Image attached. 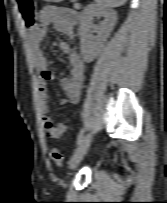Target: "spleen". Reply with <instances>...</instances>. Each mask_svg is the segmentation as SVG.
I'll return each mask as SVG.
<instances>
[{
	"mask_svg": "<svg viewBox=\"0 0 167 203\" xmlns=\"http://www.w3.org/2000/svg\"><path fill=\"white\" fill-rule=\"evenodd\" d=\"M95 2L105 8L119 7L123 5L126 0H95Z\"/></svg>",
	"mask_w": 167,
	"mask_h": 203,
	"instance_id": "1",
	"label": "spleen"
}]
</instances>
